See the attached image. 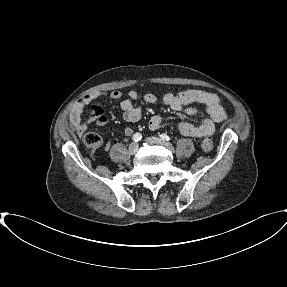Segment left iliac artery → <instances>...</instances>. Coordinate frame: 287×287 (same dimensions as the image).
Listing matches in <instances>:
<instances>
[{
  "instance_id": "left-iliac-artery-1",
  "label": "left iliac artery",
  "mask_w": 287,
  "mask_h": 287,
  "mask_svg": "<svg viewBox=\"0 0 287 287\" xmlns=\"http://www.w3.org/2000/svg\"><path fill=\"white\" fill-rule=\"evenodd\" d=\"M160 137H161L162 140L170 141V137L167 134L163 133V134L160 135Z\"/></svg>"
}]
</instances>
